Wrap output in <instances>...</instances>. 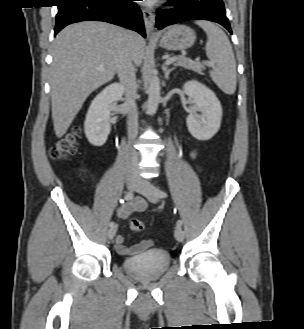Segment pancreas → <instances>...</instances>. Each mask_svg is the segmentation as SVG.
Here are the masks:
<instances>
[{
  "instance_id": "1",
  "label": "pancreas",
  "mask_w": 304,
  "mask_h": 329,
  "mask_svg": "<svg viewBox=\"0 0 304 329\" xmlns=\"http://www.w3.org/2000/svg\"><path fill=\"white\" fill-rule=\"evenodd\" d=\"M174 66H180V67H183L185 69H189V70L197 72L201 75H204V73H203V70L205 69L204 65L201 64L200 62H197V61H191V60H187L183 57H179L174 62Z\"/></svg>"
}]
</instances>
